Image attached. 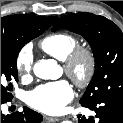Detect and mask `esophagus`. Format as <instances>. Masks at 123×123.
Segmentation results:
<instances>
[{"instance_id":"esophagus-1","label":"esophagus","mask_w":123,"mask_h":123,"mask_svg":"<svg viewBox=\"0 0 123 123\" xmlns=\"http://www.w3.org/2000/svg\"><path fill=\"white\" fill-rule=\"evenodd\" d=\"M44 118L48 122H57L61 120V118L59 117H51V116H45Z\"/></svg>"}]
</instances>
